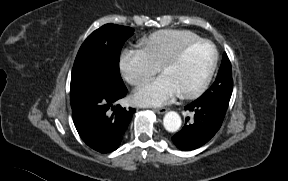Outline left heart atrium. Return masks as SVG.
Wrapping results in <instances>:
<instances>
[{
  "instance_id": "left-heart-atrium-1",
  "label": "left heart atrium",
  "mask_w": 288,
  "mask_h": 181,
  "mask_svg": "<svg viewBox=\"0 0 288 181\" xmlns=\"http://www.w3.org/2000/svg\"><path fill=\"white\" fill-rule=\"evenodd\" d=\"M178 95L176 88L163 75L141 85L134 93L136 103L145 106H161Z\"/></svg>"
}]
</instances>
